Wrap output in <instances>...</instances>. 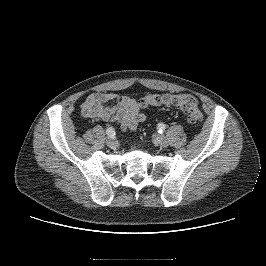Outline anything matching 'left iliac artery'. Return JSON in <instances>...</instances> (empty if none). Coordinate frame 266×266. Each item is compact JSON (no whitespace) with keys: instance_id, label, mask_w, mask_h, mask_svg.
Returning <instances> with one entry per match:
<instances>
[{"instance_id":"left-iliac-artery-1","label":"left iliac artery","mask_w":266,"mask_h":266,"mask_svg":"<svg viewBox=\"0 0 266 266\" xmlns=\"http://www.w3.org/2000/svg\"><path fill=\"white\" fill-rule=\"evenodd\" d=\"M165 128H166V126H165V124H163V123H159V124L157 125V129H158V132H159V133H163V132L165 131Z\"/></svg>"}]
</instances>
